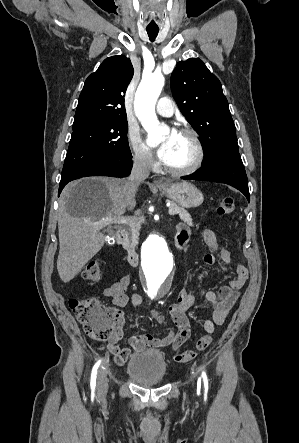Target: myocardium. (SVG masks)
Returning a JSON list of instances; mask_svg holds the SVG:
<instances>
[{
    "instance_id": "f54148a6",
    "label": "myocardium",
    "mask_w": 299,
    "mask_h": 443,
    "mask_svg": "<svg viewBox=\"0 0 299 443\" xmlns=\"http://www.w3.org/2000/svg\"><path fill=\"white\" fill-rule=\"evenodd\" d=\"M178 133L187 135L191 138L195 149L194 159L189 165L182 168H173L162 162V168L169 174L175 176H184L191 174L200 168L204 161L205 152L200 137L195 130L185 127L181 128Z\"/></svg>"
}]
</instances>
